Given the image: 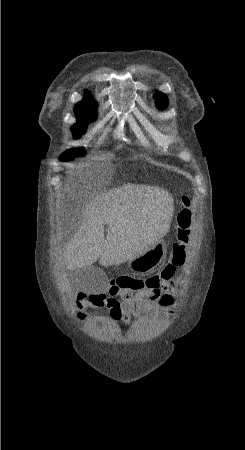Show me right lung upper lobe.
I'll use <instances>...</instances> for the list:
<instances>
[{"label": "right lung upper lobe", "instance_id": "obj_1", "mask_svg": "<svg viewBox=\"0 0 245 450\" xmlns=\"http://www.w3.org/2000/svg\"><path fill=\"white\" fill-rule=\"evenodd\" d=\"M96 106L97 105L94 102L93 97L90 94L86 93L84 99L76 104L74 112L76 115H78L83 111L94 108Z\"/></svg>", "mask_w": 245, "mask_h": 450}]
</instances>
